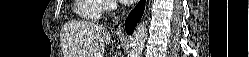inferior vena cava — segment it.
I'll use <instances>...</instances> for the list:
<instances>
[{
  "label": "inferior vena cava",
  "instance_id": "inferior-vena-cava-1",
  "mask_svg": "<svg viewBox=\"0 0 249 57\" xmlns=\"http://www.w3.org/2000/svg\"><path fill=\"white\" fill-rule=\"evenodd\" d=\"M114 22H116L117 21V18L115 17V20H113Z\"/></svg>",
  "mask_w": 249,
  "mask_h": 57
}]
</instances>
